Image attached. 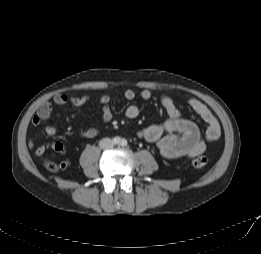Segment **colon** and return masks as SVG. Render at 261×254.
Masks as SVG:
<instances>
[{
  "label": "colon",
  "mask_w": 261,
  "mask_h": 254,
  "mask_svg": "<svg viewBox=\"0 0 261 254\" xmlns=\"http://www.w3.org/2000/svg\"><path fill=\"white\" fill-rule=\"evenodd\" d=\"M44 167L50 172H56L58 170V164L52 160H45ZM209 163V159L206 156H197L191 159V164L195 168H203Z\"/></svg>",
  "instance_id": "obj_1"
}]
</instances>
